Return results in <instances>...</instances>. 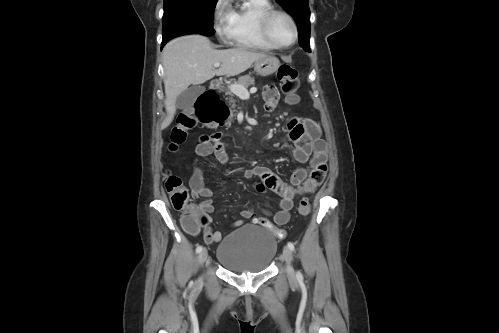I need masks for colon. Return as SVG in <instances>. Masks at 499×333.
Here are the masks:
<instances>
[{"label": "colon", "instance_id": "colon-1", "mask_svg": "<svg viewBox=\"0 0 499 333\" xmlns=\"http://www.w3.org/2000/svg\"><path fill=\"white\" fill-rule=\"evenodd\" d=\"M277 77L281 83V89L286 97V102L293 106L300 102L298 94L299 79L295 68L290 65H282L279 67ZM211 100L215 108V116L208 121L210 126L221 124L228 115V109L219 96L214 93L211 95ZM197 124L195 117L189 114H181L178 117L177 123L173 126L170 133L169 149L172 151L183 144L187 138L188 132ZM165 188L170 196L172 205L175 209L184 212L183 226L190 232H198L202 225L208 222L202 209L189 201V195L182 179L174 174H169L165 181ZM310 212V203L307 198H303L298 206V214L306 216ZM255 221L261 226L269 229L277 238L285 237V232L271 224L266 218H256ZM204 237H209L205 234Z\"/></svg>", "mask_w": 499, "mask_h": 333}]
</instances>
